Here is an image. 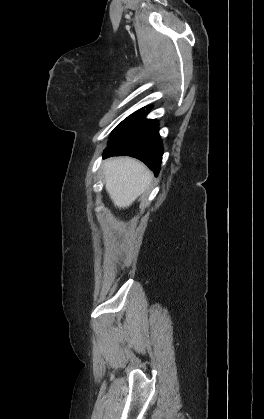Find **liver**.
I'll return each mask as SVG.
<instances>
[{
  "label": "liver",
  "mask_w": 264,
  "mask_h": 419,
  "mask_svg": "<svg viewBox=\"0 0 264 419\" xmlns=\"http://www.w3.org/2000/svg\"><path fill=\"white\" fill-rule=\"evenodd\" d=\"M103 171L106 191L118 208L129 207L146 190L152 179L148 168L130 157L106 160Z\"/></svg>",
  "instance_id": "1"
}]
</instances>
